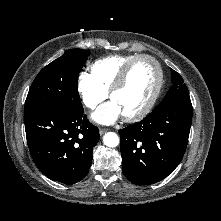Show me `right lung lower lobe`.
Here are the masks:
<instances>
[{
  "mask_svg": "<svg viewBox=\"0 0 221 221\" xmlns=\"http://www.w3.org/2000/svg\"><path fill=\"white\" fill-rule=\"evenodd\" d=\"M24 123L30 154L44 175L68 185L87 175L100 135L84 109L44 107L26 113Z\"/></svg>",
  "mask_w": 221,
  "mask_h": 221,
  "instance_id": "right-lung-lower-lobe-1",
  "label": "right lung lower lobe"
}]
</instances>
